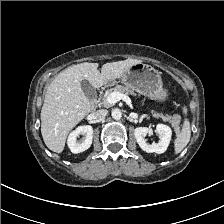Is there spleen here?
<instances>
[{"mask_svg":"<svg viewBox=\"0 0 224 224\" xmlns=\"http://www.w3.org/2000/svg\"><path fill=\"white\" fill-rule=\"evenodd\" d=\"M184 115H187V108L183 107ZM191 137V130H190V122L187 118L184 119L183 126L181 132L177 135L174 141V150L175 154L180 153L186 145L189 143Z\"/></svg>","mask_w":224,"mask_h":224,"instance_id":"spleen-1","label":"spleen"}]
</instances>
